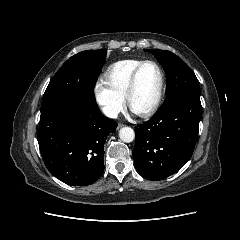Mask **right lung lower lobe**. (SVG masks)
Returning a JSON list of instances; mask_svg holds the SVG:
<instances>
[{
    "mask_svg": "<svg viewBox=\"0 0 240 240\" xmlns=\"http://www.w3.org/2000/svg\"><path fill=\"white\" fill-rule=\"evenodd\" d=\"M117 125L97 105L62 101L42 108L37 139L47 169L69 185L94 183L104 170V143Z\"/></svg>",
    "mask_w": 240,
    "mask_h": 240,
    "instance_id": "obj_1",
    "label": "right lung lower lobe"
}]
</instances>
